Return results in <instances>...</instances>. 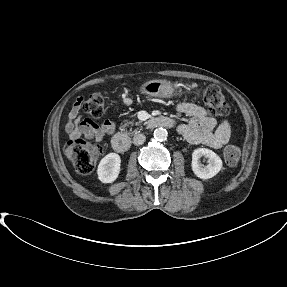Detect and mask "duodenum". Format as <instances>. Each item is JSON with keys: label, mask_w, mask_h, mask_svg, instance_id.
I'll return each instance as SVG.
<instances>
[{"label": "duodenum", "mask_w": 287, "mask_h": 287, "mask_svg": "<svg viewBox=\"0 0 287 287\" xmlns=\"http://www.w3.org/2000/svg\"><path fill=\"white\" fill-rule=\"evenodd\" d=\"M173 126V121L166 116H155L148 121V127L153 129L157 127L169 128ZM112 147L117 152H125L130 147V140L127 135L118 133L112 138Z\"/></svg>", "instance_id": "1"}]
</instances>
